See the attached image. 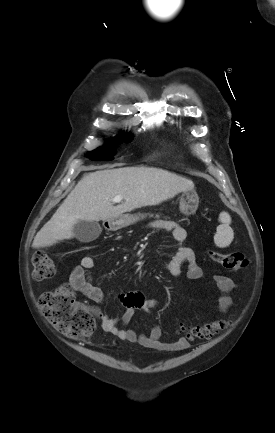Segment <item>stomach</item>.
I'll return each mask as SVG.
<instances>
[{"label":"stomach","mask_w":275,"mask_h":433,"mask_svg":"<svg viewBox=\"0 0 275 433\" xmlns=\"http://www.w3.org/2000/svg\"><path fill=\"white\" fill-rule=\"evenodd\" d=\"M199 205V197L194 190L184 191L180 198L179 210L182 214L189 216L195 214ZM140 215L123 214L117 218L107 220L106 226L109 230H118L136 223Z\"/></svg>","instance_id":"stomach-1"}]
</instances>
